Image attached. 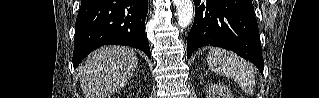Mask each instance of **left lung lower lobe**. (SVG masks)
Instances as JSON below:
<instances>
[{"label": "left lung lower lobe", "mask_w": 319, "mask_h": 98, "mask_svg": "<svg viewBox=\"0 0 319 98\" xmlns=\"http://www.w3.org/2000/svg\"><path fill=\"white\" fill-rule=\"evenodd\" d=\"M195 19L187 39V58L202 46H218L254 63L263 74L259 30L251 0H194Z\"/></svg>", "instance_id": "obj_1"}]
</instances>
